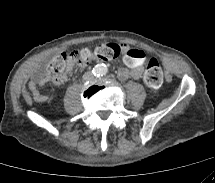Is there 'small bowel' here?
<instances>
[{"instance_id": "small-bowel-1", "label": "small bowel", "mask_w": 215, "mask_h": 183, "mask_svg": "<svg viewBox=\"0 0 215 183\" xmlns=\"http://www.w3.org/2000/svg\"><path fill=\"white\" fill-rule=\"evenodd\" d=\"M126 49L122 52L120 56V61L122 67L118 70V78L121 80H126L129 77L138 79L143 73V63L146 62L148 58V53L146 49L138 47L136 45H131L129 47L124 46ZM75 61H72L68 67V73L72 71L75 66ZM66 80V75L63 77L53 76L49 71H43L34 75L29 82V91L34 100L38 102L46 101L47 97L39 92V88L47 82H52L55 85H60Z\"/></svg>"}]
</instances>
